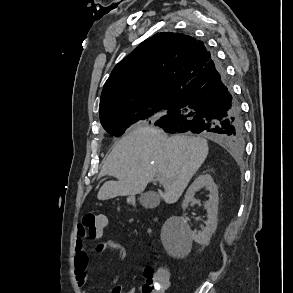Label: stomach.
<instances>
[{
	"mask_svg": "<svg viewBox=\"0 0 293 293\" xmlns=\"http://www.w3.org/2000/svg\"><path fill=\"white\" fill-rule=\"evenodd\" d=\"M128 202H131V199H128Z\"/></svg>",
	"mask_w": 293,
	"mask_h": 293,
	"instance_id": "obj_1",
	"label": "stomach"
}]
</instances>
